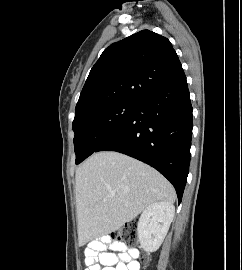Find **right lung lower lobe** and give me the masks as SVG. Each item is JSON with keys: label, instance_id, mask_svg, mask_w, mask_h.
<instances>
[{"label": "right lung lower lobe", "instance_id": "98d812e1", "mask_svg": "<svg viewBox=\"0 0 242 270\" xmlns=\"http://www.w3.org/2000/svg\"><path fill=\"white\" fill-rule=\"evenodd\" d=\"M192 127L182 69L138 99L122 126L95 152H121L154 167L173 184L180 203L189 172Z\"/></svg>", "mask_w": 242, "mask_h": 270}]
</instances>
